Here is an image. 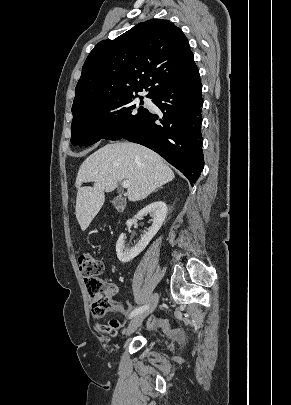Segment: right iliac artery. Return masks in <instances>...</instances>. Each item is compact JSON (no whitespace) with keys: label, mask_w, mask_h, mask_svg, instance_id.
Instances as JSON below:
<instances>
[{"label":"right iliac artery","mask_w":291,"mask_h":405,"mask_svg":"<svg viewBox=\"0 0 291 405\" xmlns=\"http://www.w3.org/2000/svg\"><path fill=\"white\" fill-rule=\"evenodd\" d=\"M147 308H148V305H144V306H141V307H138V308L134 309V310L131 312L129 318H132V317H134V316H136V315L142 313V312L145 311Z\"/></svg>","instance_id":"obj_1"}]
</instances>
